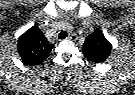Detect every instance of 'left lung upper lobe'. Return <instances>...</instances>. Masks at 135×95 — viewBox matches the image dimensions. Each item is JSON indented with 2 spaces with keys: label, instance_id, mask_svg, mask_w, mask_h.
<instances>
[{
  "label": "left lung upper lobe",
  "instance_id": "5c2ea615",
  "mask_svg": "<svg viewBox=\"0 0 135 95\" xmlns=\"http://www.w3.org/2000/svg\"><path fill=\"white\" fill-rule=\"evenodd\" d=\"M112 44L105 38L100 29L89 34L83 44L84 56L94 63H103L110 56Z\"/></svg>",
  "mask_w": 135,
  "mask_h": 95
}]
</instances>
